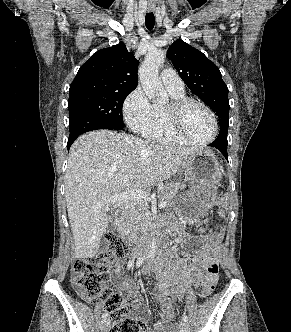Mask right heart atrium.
I'll return each mask as SVG.
<instances>
[{
    "label": "right heart atrium",
    "mask_w": 291,
    "mask_h": 332,
    "mask_svg": "<svg viewBox=\"0 0 291 332\" xmlns=\"http://www.w3.org/2000/svg\"><path fill=\"white\" fill-rule=\"evenodd\" d=\"M123 116L133 131L141 132L152 124L153 106L141 88L134 89L124 101Z\"/></svg>",
    "instance_id": "d8ad5b80"
}]
</instances>
